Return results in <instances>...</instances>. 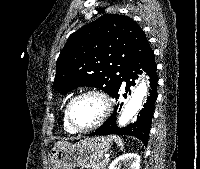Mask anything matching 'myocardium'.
I'll use <instances>...</instances> for the list:
<instances>
[{"mask_svg":"<svg viewBox=\"0 0 200 169\" xmlns=\"http://www.w3.org/2000/svg\"><path fill=\"white\" fill-rule=\"evenodd\" d=\"M89 95L96 96L101 100V102L103 104V111H102L100 118L97 120V122L95 124H93L92 126L87 127V128H79L73 122L72 113H71L72 107L78 99H80L84 96H89ZM112 108H113V102L107 92H105L104 90L99 89V88H88V89H85V90L77 93L74 97L71 98V100L68 102L67 107H66V117H67L69 125L72 127V129L75 132L87 133V132H91V131H94L97 128H99L109 117V115L112 111Z\"/></svg>","mask_w":200,"mask_h":169,"instance_id":"f54148a6","label":"myocardium"}]
</instances>
